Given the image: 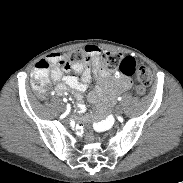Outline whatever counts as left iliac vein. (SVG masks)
Returning <instances> with one entry per match:
<instances>
[{"mask_svg": "<svg viewBox=\"0 0 183 183\" xmlns=\"http://www.w3.org/2000/svg\"><path fill=\"white\" fill-rule=\"evenodd\" d=\"M122 111H123L122 107H121L120 105H118V106L116 107V112H117L118 114H121Z\"/></svg>", "mask_w": 183, "mask_h": 183, "instance_id": "1", "label": "left iliac vein"}]
</instances>
